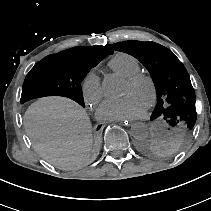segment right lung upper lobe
<instances>
[{
	"mask_svg": "<svg viewBox=\"0 0 211 211\" xmlns=\"http://www.w3.org/2000/svg\"><path fill=\"white\" fill-rule=\"evenodd\" d=\"M67 54L83 57H94V56H103L113 54V51L108 46H88V47H74L65 51H62Z\"/></svg>",
	"mask_w": 211,
	"mask_h": 211,
	"instance_id": "obj_1",
	"label": "right lung upper lobe"
}]
</instances>
